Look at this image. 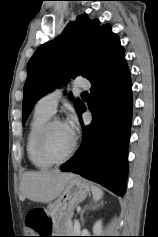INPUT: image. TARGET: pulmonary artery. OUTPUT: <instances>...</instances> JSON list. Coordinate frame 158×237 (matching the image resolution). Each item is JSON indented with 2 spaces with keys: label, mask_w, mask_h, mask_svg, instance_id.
Wrapping results in <instances>:
<instances>
[{
  "label": "pulmonary artery",
  "mask_w": 158,
  "mask_h": 237,
  "mask_svg": "<svg viewBox=\"0 0 158 237\" xmlns=\"http://www.w3.org/2000/svg\"><path fill=\"white\" fill-rule=\"evenodd\" d=\"M75 88H83L88 89L90 87V83L87 79L77 78L74 81ZM63 88L57 87L55 90L47 93L43 97H41L37 102V107L43 111H46L50 114H54L58 105V102L62 96Z\"/></svg>",
  "instance_id": "e3ab8cb5"
}]
</instances>
